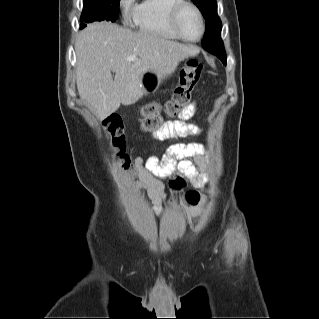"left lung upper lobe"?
Instances as JSON below:
<instances>
[{"instance_id":"1","label":"left lung upper lobe","mask_w":319,"mask_h":319,"mask_svg":"<svg viewBox=\"0 0 319 319\" xmlns=\"http://www.w3.org/2000/svg\"><path fill=\"white\" fill-rule=\"evenodd\" d=\"M205 18L206 28L202 46L208 52L216 55L226 65V54L221 39L222 23L217 15L216 0H191Z\"/></svg>"}]
</instances>
